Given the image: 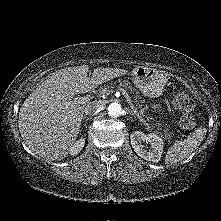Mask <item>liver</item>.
I'll return each mask as SVG.
<instances>
[{
	"mask_svg": "<svg viewBox=\"0 0 221 221\" xmlns=\"http://www.w3.org/2000/svg\"><path fill=\"white\" fill-rule=\"evenodd\" d=\"M88 65L58 70L26 98L19 111L20 134L35 154L48 160H62L76 142L86 104L71 100L116 77L119 68H95L88 77Z\"/></svg>",
	"mask_w": 221,
	"mask_h": 221,
	"instance_id": "6515ba94",
	"label": "liver"
}]
</instances>
